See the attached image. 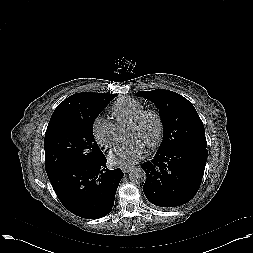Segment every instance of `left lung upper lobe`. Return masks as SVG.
Listing matches in <instances>:
<instances>
[{"label": "left lung upper lobe", "mask_w": 253, "mask_h": 253, "mask_svg": "<svg viewBox=\"0 0 253 253\" xmlns=\"http://www.w3.org/2000/svg\"><path fill=\"white\" fill-rule=\"evenodd\" d=\"M136 96L154 102L159 109L164 136L157 153L184 144L207 148L203 123L189 100L165 89L139 91Z\"/></svg>", "instance_id": "obj_1"}]
</instances>
